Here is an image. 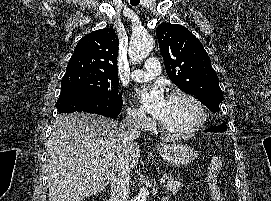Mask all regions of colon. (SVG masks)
<instances>
[{
    "instance_id": "5ec220e1",
    "label": "colon",
    "mask_w": 271,
    "mask_h": 201,
    "mask_svg": "<svg viewBox=\"0 0 271 201\" xmlns=\"http://www.w3.org/2000/svg\"><path fill=\"white\" fill-rule=\"evenodd\" d=\"M222 167V155L220 153H215L211 157L210 165L208 168V183L212 190L214 191L215 201H222L216 190V179Z\"/></svg>"
}]
</instances>
